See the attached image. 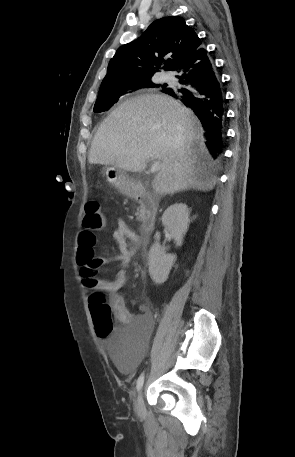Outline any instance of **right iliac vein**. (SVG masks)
Here are the masks:
<instances>
[{"instance_id":"obj_1","label":"right iliac vein","mask_w":295,"mask_h":457,"mask_svg":"<svg viewBox=\"0 0 295 457\" xmlns=\"http://www.w3.org/2000/svg\"><path fill=\"white\" fill-rule=\"evenodd\" d=\"M135 407L138 413H143L145 410V405H144V399H143V394L142 391L139 392L136 401H135Z\"/></svg>"}]
</instances>
